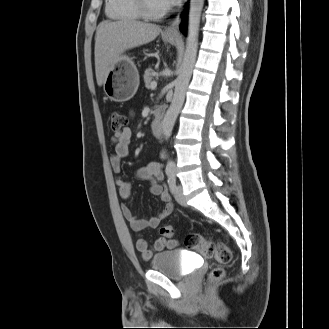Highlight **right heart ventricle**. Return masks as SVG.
Returning a JSON list of instances; mask_svg holds the SVG:
<instances>
[{
  "instance_id": "e07e8e85",
  "label": "right heart ventricle",
  "mask_w": 329,
  "mask_h": 329,
  "mask_svg": "<svg viewBox=\"0 0 329 329\" xmlns=\"http://www.w3.org/2000/svg\"><path fill=\"white\" fill-rule=\"evenodd\" d=\"M106 13L118 20L136 21L142 18L136 0H106Z\"/></svg>"
}]
</instances>
